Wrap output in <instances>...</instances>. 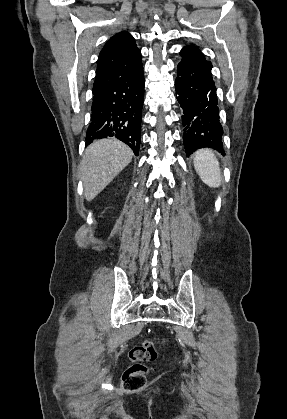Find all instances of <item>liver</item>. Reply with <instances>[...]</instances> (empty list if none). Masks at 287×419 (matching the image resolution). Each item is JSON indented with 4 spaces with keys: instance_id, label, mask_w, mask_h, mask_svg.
I'll use <instances>...</instances> for the list:
<instances>
[{
    "instance_id": "1",
    "label": "liver",
    "mask_w": 287,
    "mask_h": 419,
    "mask_svg": "<svg viewBox=\"0 0 287 419\" xmlns=\"http://www.w3.org/2000/svg\"><path fill=\"white\" fill-rule=\"evenodd\" d=\"M132 150L123 142L102 139L90 144L81 163L84 196L93 200L131 162Z\"/></svg>"
}]
</instances>
